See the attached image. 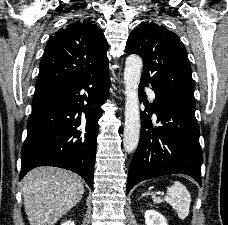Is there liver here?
<instances>
[{"instance_id": "liver-1", "label": "liver", "mask_w": 228, "mask_h": 225, "mask_svg": "<svg viewBox=\"0 0 228 225\" xmlns=\"http://www.w3.org/2000/svg\"><path fill=\"white\" fill-rule=\"evenodd\" d=\"M21 185L30 225H56L84 195V185L78 175L55 167L29 171Z\"/></svg>"}]
</instances>
